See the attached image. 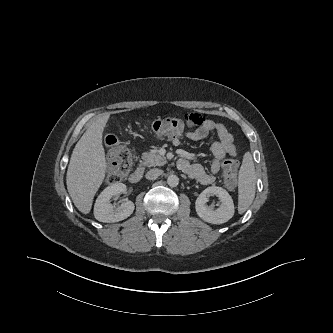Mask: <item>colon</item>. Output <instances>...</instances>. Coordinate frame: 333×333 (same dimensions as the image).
Returning <instances> with one entry per match:
<instances>
[{"mask_svg":"<svg viewBox=\"0 0 333 333\" xmlns=\"http://www.w3.org/2000/svg\"><path fill=\"white\" fill-rule=\"evenodd\" d=\"M201 117L196 114H190L184 118H165L154 120L150 127L158 136L178 138L188 127L199 125ZM108 157L111 160V166L107 172V181L117 183L124 178L131 170L132 157L129 148L119 142L114 135H108L105 138ZM238 163L235 159H227L223 164L224 180L227 186L234 187L237 183Z\"/></svg>","mask_w":333,"mask_h":333,"instance_id":"colon-1","label":"colon"}]
</instances>
